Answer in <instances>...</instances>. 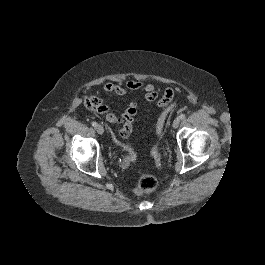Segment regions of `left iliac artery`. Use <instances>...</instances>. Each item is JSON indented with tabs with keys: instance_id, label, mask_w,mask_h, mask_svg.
I'll list each match as a JSON object with an SVG mask.
<instances>
[{
	"instance_id": "44dca946",
	"label": "left iliac artery",
	"mask_w": 265,
	"mask_h": 265,
	"mask_svg": "<svg viewBox=\"0 0 265 265\" xmlns=\"http://www.w3.org/2000/svg\"><path fill=\"white\" fill-rule=\"evenodd\" d=\"M185 118H186V115H185V114H180V115H179V119H180V120H183V119H185Z\"/></svg>"
}]
</instances>
